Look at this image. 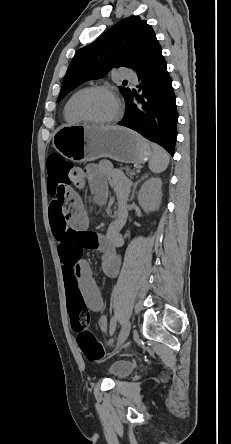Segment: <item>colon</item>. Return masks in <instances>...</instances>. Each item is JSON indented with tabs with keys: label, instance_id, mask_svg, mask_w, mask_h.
I'll list each match as a JSON object with an SVG mask.
<instances>
[{
	"label": "colon",
	"instance_id": "colon-1",
	"mask_svg": "<svg viewBox=\"0 0 231 444\" xmlns=\"http://www.w3.org/2000/svg\"><path fill=\"white\" fill-rule=\"evenodd\" d=\"M48 190L58 200L61 193L69 186L71 178L79 170L59 154L47 158ZM68 311L73 330L77 333L78 345L90 362H99L104 357V347L97 337L89 331L90 314L83 297L74 290L67 291Z\"/></svg>",
	"mask_w": 231,
	"mask_h": 444
}]
</instances>
